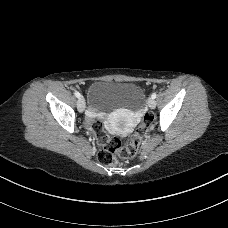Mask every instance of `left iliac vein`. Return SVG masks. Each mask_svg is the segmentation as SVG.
I'll return each instance as SVG.
<instances>
[{
  "label": "left iliac vein",
  "mask_w": 228,
  "mask_h": 228,
  "mask_svg": "<svg viewBox=\"0 0 228 228\" xmlns=\"http://www.w3.org/2000/svg\"><path fill=\"white\" fill-rule=\"evenodd\" d=\"M148 106L151 108V109H154L156 107V101L155 99H153L152 97H150L148 99Z\"/></svg>",
  "instance_id": "obj_1"
}]
</instances>
